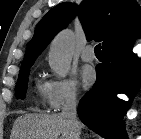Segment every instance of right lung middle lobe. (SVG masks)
<instances>
[{
    "instance_id": "1",
    "label": "right lung middle lobe",
    "mask_w": 141,
    "mask_h": 139,
    "mask_svg": "<svg viewBox=\"0 0 141 139\" xmlns=\"http://www.w3.org/2000/svg\"><path fill=\"white\" fill-rule=\"evenodd\" d=\"M30 66L22 67L18 76L17 86H16V97L20 99L25 98V93L28 85V75L30 72Z\"/></svg>"
}]
</instances>
